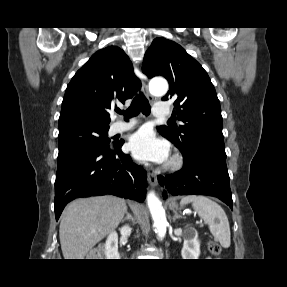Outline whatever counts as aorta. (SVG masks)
Here are the masks:
<instances>
[{
    "mask_svg": "<svg viewBox=\"0 0 287 287\" xmlns=\"http://www.w3.org/2000/svg\"><path fill=\"white\" fill-rule=\"evenodd\" d=\"M149 87L152 93L159 95L165 94L168 90V84L165 80H155L150 83ZM147 204L154 221L155 231L159 238L162 239L166 234V228L168 225L165 210L161 201L157 198L154 192L148 193Z\"/></svg>",
    "mask_w": 287,
    "mask_h": 287,
    "instance_id": "obj_1",
    "label": "aorta"
}]
</instances>
